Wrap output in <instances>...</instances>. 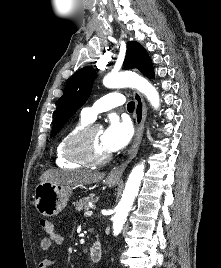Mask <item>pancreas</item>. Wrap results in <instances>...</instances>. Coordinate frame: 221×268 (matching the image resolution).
Instances as JSON below:
<instances>
[{
	"label": "pancreas",
	"mask_w": 221,
	"mask_h": 268,
	"mask_svg": "<svg viewBox=\"0 0 221 268\" xmlns=\"http://www.w3.org/2000/svg\"><path fill=\"white\" fill-rule=\"evenodd\" d=\"M97 200V198L95 197V195H90L87 197H83L80 200H77L74 203V206L76 207V210L81 211L82 209H88V203L89 202H95Z\"/></svg>",
	"instance_id": "1"
}]
</instances>
